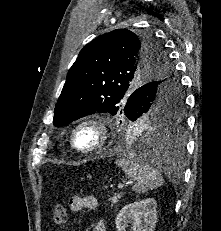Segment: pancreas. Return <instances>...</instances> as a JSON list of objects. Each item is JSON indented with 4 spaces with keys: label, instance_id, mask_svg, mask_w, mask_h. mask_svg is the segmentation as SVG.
<instances>
[{
    "label": "pancreas",
    "instance_id": "obj_1",
    "mask_svg": "<svg viewBox=\"0 0 221 231\" xmlns=\"http://www.w3.org/2000/svg\"><path fill=\"white\" fill-rule=\"evenodd\" d=\"M122 197V193L120 194H115L114 196L110 197L109 198V201L111 202V204H116L119 202V200L121 199Z\"/></svg>",
    "mask_w": 221,
    "mask_h": 231
}]
</instances>
